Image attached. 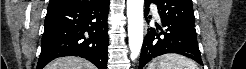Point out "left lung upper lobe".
I'll return each instance as SVG.
<instances>
[{"label": "left lung upper lobe", "mask_w": 246, "mask_h": 69, "mask_svg": "<svg viewBox=\"0 0 246 69\" xmlns=\"http://www.w3.org/2000/svg\"><path fill=\"white\" fill-rule=\"evenodd\" d=\"M155 3L158 13L174 22L195 26V16L191 0H149Z\"/></svg>", "instance_id": "5c2ea615"}]
</instances>
